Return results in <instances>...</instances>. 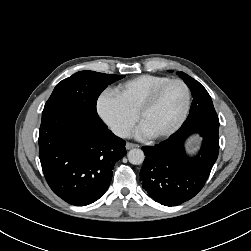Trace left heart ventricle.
<instances>
[{"label": "left heart ventricle", "mask_w": 251, "mask_h": 251, "mask_svg": "<svg viewBox=\"0 0 251 251\" xmlns=\"http://www.w3.org/2000/svg\"><path fill=\"white\" fill-rule=\"evenodd\" d=\"M185 99L183 86L178 83L170 84L155 105L143 115L141 125L151 136L168 130L181 115Z\"/></svg>", "instance_id": "left-heart-ventricle-1"}]
</instances>
